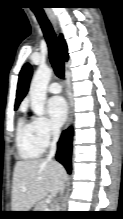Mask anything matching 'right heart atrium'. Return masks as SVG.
I'll return each instance as SVG.
<instances>
[{
    "instance_id": "1",
    "label": "right heart atrium",
    "mask_w": 123,
    "mask_h": 219,
    "mask_svg": "<svg viewBox=\"0 0 123 219\" xmlns=\"http://www.w3.org/2000/svg\"><path fill=\"white\" fill-rule=\"evenodd\" d=\"M32 122L38 139L47 147L57 137L58 129L45 116H37Z\"/></svg>"
}]
</instances>
